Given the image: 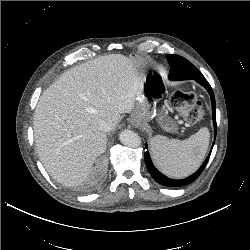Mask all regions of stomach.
Listing matches in <instances>:
<instances>
[{"label":"stomach","instance_id":"stomach-1","mask_svg":"<svg viewBox=\"0 0 250 250\" xmlns=\"http://www.w3.org/2000/svg\"><path fill=\"white\" fill-rule=\"evenodd\" d=\"M164 92L162 80L156 76L145 77L142 94L137 98L130 121L137 127L145 126L153 117H157L161 127L166 131H175L176 124L168 116V111L163 107L158 110L156 103Z\"/></svg>","mask_w":250,"mask_h":250}]
</instances>
